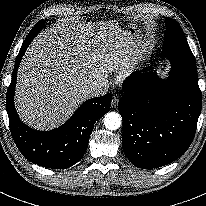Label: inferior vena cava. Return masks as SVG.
Instances as JSON below:
<instances>
[{
    "mask_svg": "<svg viewBox=\"0 0 206 206\" xmlns=\"http://www.w3.org/2000/svg\"><path fill=\"white\" fill-rule=\"evenodd\" d=\"M108 89V82L107 81H102L100 83H97L93 86H91L86 93L88 94L89 97H100L106 94Z\"/></svg>",
    "mask_w": 206,
    "mask_h": 206,
    "instance_id": "inferior-vena-cava-1",
    "label": "inferior vena cava"
}]
</instances>
